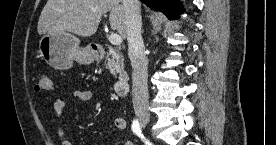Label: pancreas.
Here are the masks:
<instances>
[{
	"label": "pancreas",
	"mask_w": 276,
	"mask_h": 145,
	"mask_svg": "<svg viewBox=\"0 0 276 145\" xmlns=\"http://www.w3.org/2000/svg\"><path fill=\"white\" fill-rule=\"evenodd\" d=\"M107 61H108L107 66L110 72L113 75H116L117 73H119L120 69L123 66L122 54L116 51L115 49L110 48Z\"/></svg>",
	"instance_id": "1"
}]
</instances>
